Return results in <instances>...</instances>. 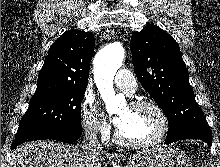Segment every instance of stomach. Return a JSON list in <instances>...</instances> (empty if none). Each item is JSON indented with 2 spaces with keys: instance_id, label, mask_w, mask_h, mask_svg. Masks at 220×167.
I'll return each mask as SVG.
<instances>
[{
  "instance_id": "1",
  "label": "stomach",
  "mask_w": 220,
  "mask_h": 167,
  "mask_svg": "<svg viewBox=\"0 0 220 167\" xmlns=\"http://www.w3.org/2000/svg\"><path fill=\"white\" fill-rule=\"evenodd\" d=\"M126 167H192L187 154L175 147L146 148L134 154Z\"/></svg>"
}]
</instances>
